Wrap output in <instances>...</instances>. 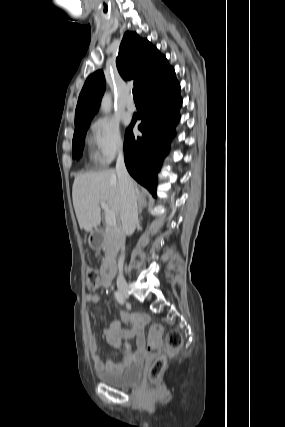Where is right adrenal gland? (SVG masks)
Returning <instances> with one entry per match:
<instances>
[{
  "instance_id": "right-adrenal-gland-1",
  "label": "right adrenal gland",
  "mask_w": 285,
  "mask_h": 427,
  "mask_svg": "<svg viewBox=\"0 0 285 427\" xmlns=\"http://www.w3.org/2000/svg\"><path fill=\"white\" fill-rule=\"evenodd\" d=\"M147 206V200H146V197L144 196V195H139L138 196V210H139V214H141L142 213V209L144 208V207H146Z\"/></svg>"
}]
</instances>
